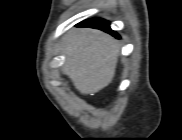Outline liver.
I'll return each instance as SVG.
<instances>
[{
  "instance_id": "obj_1",
  "label": "liver",
  "mask_w": 182,
  "mask_h": 140,
  "mask_svg": "<svg viewBox=\"0 0 182 140\" xmlns=\"http://www.w3.org/2000/svg\"><path fill=\"white\" fill-rule=\"evenodd\" d=\"M118 53L111 36L89 28L74 30L65 39L62 72L81 94L96 93L111 83Z\"/></svg>"
}]
</instances>
